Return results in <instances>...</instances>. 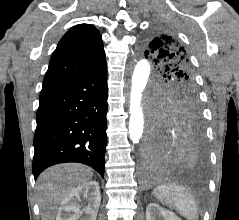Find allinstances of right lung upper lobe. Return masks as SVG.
Returning <instances> with one entry per match:
<instances>
[{
    "instance_id": "obj_1",
    "label": "right lung upper lobe",
    "mask_w": 239,
    "mask_h": 220,
    "mask_svg": "<svg viewBox=\"0 0 239 220\" xmlns=\"http://www.w3.org/2000/svg\"><path fill=\"white\" fill-rule=\"evenodd\" d=\"M103 62L106 60L100 32L89 24L76 25L58 43L43 86L78 77Z\"/></svg>"
}]
</instances>
